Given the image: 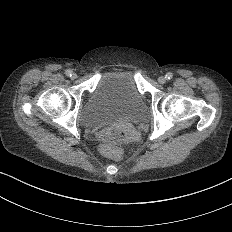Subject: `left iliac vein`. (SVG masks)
<instances>
[{"instance_id":"left-iliac-vein-1","label":"left iliac vein","mask_w":232,"mask_h":232,"mask_svg":"<svg viewBox=\"0 0 232 232\" xmlns=\"http://www.w3.org/2000/svg\"><path fill=\"white\" fill-rule=\"evenodd\" d=\"M159 83L160 84H165L166 83V77L165 76H160L159 77Z\"/></svg>"}]
</instances>
